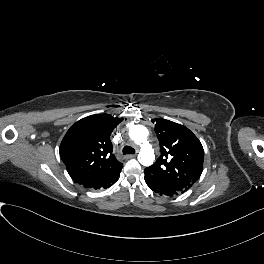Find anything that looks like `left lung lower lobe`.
<instances>
[{"instance_id": "left-lung-lower-lobe-1", "label": "left lung lower lobe", "mask_w": 264, "mask_h": 264, "mask_svg": "<svg viewBox=\"0 0 264 264\" xmlns=\"http://www.w3.org/2000/svg\"><path fill=\"white\" fill-rule=\"evenodd\" d=\"M145 182L152 191H154L155 193H158L161 196L172 197L174 195L179 194L177 191H175L171 188H168V187L164 186L163 184H161V183H159L153 179H149V178L145 177Z\"/></svg>"}]
</instances>
